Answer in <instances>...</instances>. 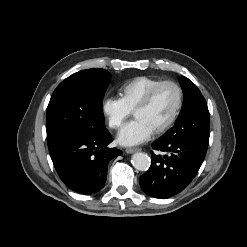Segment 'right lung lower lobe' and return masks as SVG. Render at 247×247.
I'll return each instance as SVG.
<instances>
[{
    "mask_svg": "<svg viewBox=\"0 0 247 247\" xmlns=\"http://www.w3.org/2000/svg\"><path fill=\"white\" fill-rule=\"evenodd\" d=\"M111 142L112 136L104 128L57 140L48 148L60 179L70 189L88 195L103 188L109 160L122 154L116 148H108Z\"/></svg>",
    "mask_w": 247,
    "mask_h": 247,
    "instance_id": "obj_1",
    "label": "right lung lower lobe"
}]
</instances>
